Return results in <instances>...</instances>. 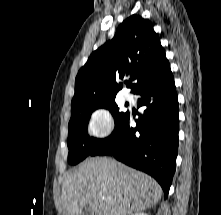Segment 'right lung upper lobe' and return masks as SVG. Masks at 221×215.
I'll use <instances>...</instances> for the list:
<instances>
[{
    "label": "right lung upper lobe",
    "mask_w": 221,
    "mask_h": 215,
    "mask_svg": "<svg viewBox=\"0 0 221 215\" xmlns=\"http://www.w3.org/2000/svg\"><path fill=\"white\" fill-rule=\"evenodd\" d=\"M170 64L148 19L132 15L123 21L112 40L95 50L79 70L72 104L115 99L122 84L115 79L130 77L135 93L170 72Z\"/></svg>",
    "instance_id": "right-lung-upper-lobe-1"
}]
</instances>
